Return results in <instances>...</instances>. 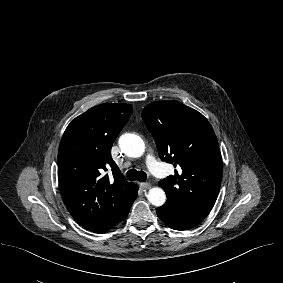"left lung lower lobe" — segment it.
<instances>
[{"label":"left lung lower lobe","mask_w":283,"mask_h":283,"mask_svg":"<svg viewBox=\"0 0 283 283\" xmlns=\"http://www.w3.org/2000/svg\"><path fill=\"white\" fill-rule=\"evenodd\" d=\"M158 217L170 228L188 230L200 224L204 218L186 214L179 209L163 205L156 210Z\"/></svg>","instance_id":"left-lung-lower-lobe-1"}]
</instances>
